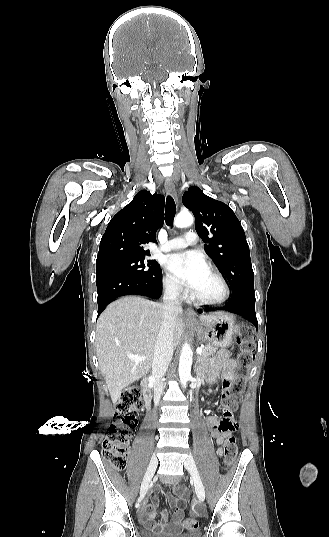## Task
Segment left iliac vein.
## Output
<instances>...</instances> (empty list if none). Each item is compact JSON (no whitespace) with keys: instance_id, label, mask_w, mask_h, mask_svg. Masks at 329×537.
<instances>
[{"instance_id":"4c4485c4","label":"left iliac vein","mask_w":329,"mask_h":537,"mask_svg":"<svg viewBox=\"0 0 329 537\" xmlns=\"http://www.w3.org/2000/svg\"><path fill=\"white\" fill-rule=\"evenodd\" d=\"M184 466L192 477L197 497L199 499V502L202 503L205 499V489L192 456H188L186 458Z\"/></svg>"}]
</instances>
